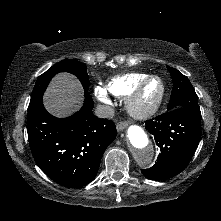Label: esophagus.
<instances>
[{
    "label": "esophagus",
    "mask_w": 221,
    "mask_h": 221,
    "mask_svg": "<svg viewBox=\"0 0 221 221\" xmlns=\"http://www.w3.org/2000/svg\"><path fill=\"white\" fill-rule=\"evenodd\" d=\"M127 123L125 121H121L117 124V131L120 132L125 129Z\"/></svg>",
    "instance_id": "1"
}]
</instances>
